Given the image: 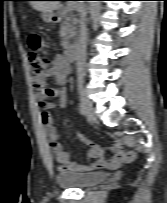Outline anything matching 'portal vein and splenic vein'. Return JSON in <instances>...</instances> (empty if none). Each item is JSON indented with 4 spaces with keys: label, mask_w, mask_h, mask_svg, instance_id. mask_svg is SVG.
<instances>
[{
    "label": "portal vein and splenic vein",
    "mask_w": 167,
    "mask_h": 203,
    "mask_svg": "<svg viewBox=\"0 0 167 203\" xmlns=\"http://www.w3.org/2000/svg\"><path fill=\"white\" fill-rule=\"evenodd\" d=\"M68 9L69 10H73L74 9V5L73 4H68Z\"/></svg>",
    "instance_id": "portal-vein-and-splenic-vein-1"
}]
</instances>
